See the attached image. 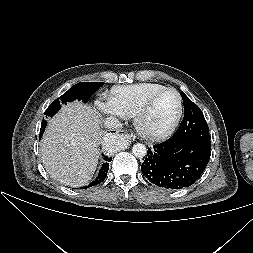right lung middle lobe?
Wrapping results in <instances>:
<instances>
[{
  "label": "right lung middle lobe",
  "instance_id": "dd1d6c3e",
  "mask_svg": "<svg viewBox=\"0 0 253 253\" xmlns=\"http://www.w3.org/2000/svg\"><path fill=\"white\" fill-rule=\"evenodd\" d=\"M104 83L103 82H80L72 86L62 96L54 100L47 110L44 112L46 116L52 117L60 108L63 103L71 102L73 100H82L87 102L93 93L98 90ZM47 122L42 121L40 135L43 134Z\"/></svg>",
  "mask_w": 253,
  "mask_h": 253
}]
</instances>
